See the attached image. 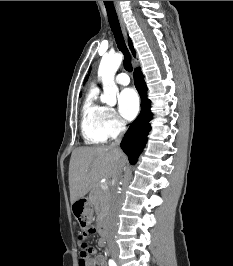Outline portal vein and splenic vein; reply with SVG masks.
Masks as SVG:
<instances>
[{"label": "portal vein and splenic vein", "instance_id": "obj_1", "mask_svg": "<svg viewBox=\"0 0 233 266\" xmlns=\"http://www.w3.org/2000/svg\"><path fill=\"white\" fill-rule=\"evenodd\" d=\"M108 188V183L105 182L101 185V189L106 190Z\"/></svg>", "mask_w": 233, "mask_h": 266}]
</instances>
